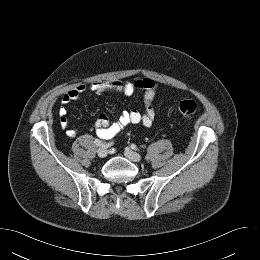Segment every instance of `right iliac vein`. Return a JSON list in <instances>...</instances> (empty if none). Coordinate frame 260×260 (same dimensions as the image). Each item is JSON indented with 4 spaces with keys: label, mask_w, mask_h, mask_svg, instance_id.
<instances>
[{
    "label": "right iliac vein",
    "mask_w": 260,
    "mask_h": 260,
    "mask_svg": "<svg viewBox=\"0 0 260 260\" xmlns=\"http://www.w3.org/2000/svg\"><path fill=\"white\" fill-rule=\"evenodd\" d=\"M107 154H108V151H107L106 148H103V147H102V148H99V149L97 150V155H98L100 158L106 157Z\"/></svg>",
    "instance_id": "1"
}]
</instances>
